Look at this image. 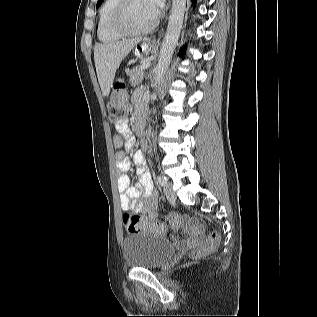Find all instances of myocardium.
<instances>
[{
	"mask_svg": "<svg viewBox=\"0 0 317 317\" xmlns=\"http://www.w3.org/2000/svg\"><path fill=\"white\" fill-rule=\"evenodd\" d=\"M130 2L131 0H119L117 3L112 16V28L114 31L122 36H139L145 35L154 30L159 22V14H157L154 20L144 28L133 29L128 26L126 16Z\"/></svg>",
	"mask_w": 317,
	"mask_h": 317,
	"instance_id": "f54148a6",
	"label": "myocardium"
}]
</instances>
